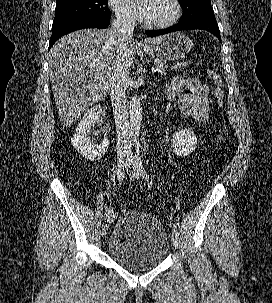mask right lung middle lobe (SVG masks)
I'll return each mask as SVG.
<instances>
[{
	"label": "right lung middle lobe",
	"mask_w": 272,
	"mask_h": 303,
	"mask_svg": "<svg viewBox=\"0 0 272 303\" xmlns=\"http://www.w3.org/2000/svg\"><path fill=\"white\" fill-rule=\"evenodd\" d=\"M108 0H57L53 25L78 18H111Z\"/></svg>",
	"instance_id": "obj_1"
}]
</instances>
